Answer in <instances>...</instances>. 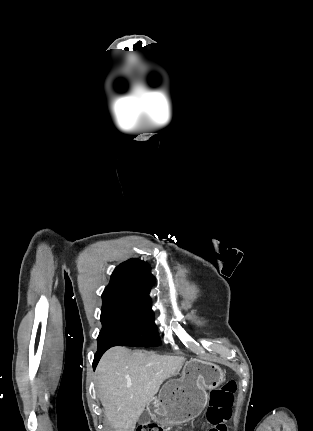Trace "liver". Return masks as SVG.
<instances>
[{"label": "liver", "instance_id": "liver-1", "mask_svg": "<svg viewBox=\"0 0 313 431\" xmlns=\"http://www.w3.org/2000/svg\"><path fill=\"white\" fill-rule=\"evenodd\" d=\"M184 362L182 356L125 347H113L103 355L96 369L98 395L116 431H134L161 384L178 374Z\"/></svg>", "mask_w": 313, "mask_h": 431}]
</instances>
